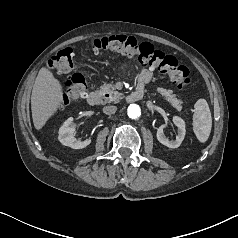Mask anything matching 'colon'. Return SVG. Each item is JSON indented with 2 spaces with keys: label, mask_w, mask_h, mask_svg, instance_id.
I'll return each instance as SVG.
<instances>
[{
  "label": "colon",
  "mask_w": 238,
  "mask_h": 238,
  "mask_svg": "<svg viewBox=\"0 0 238 238\" xmlns=\"http://www.w3.org/2000/svg\"><path fill=\"white\" fill-rule=\"evenodd\" d=\"M91 47L94 51L116 52L136 57L142 64L167 75L179 89L186 88L191 82L188 68L179 64L175 57L156 49L148 42H139L132 36L109 35L99 37L92 41ZM47 66L57 73L69 74L65 82L61 107L87 96V81L84 74L76 71L75 50L73 48H65L56 52L48 60Z\"/></svg>",
  "instance_id": "5ec220e1"
}]
</instances>
